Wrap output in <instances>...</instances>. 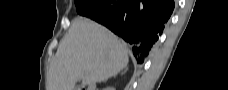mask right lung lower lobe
<instances>
[{
    "instance_id": "98d812e1",
    "label": "right lung lower lobe",
    "mask_w": 228,
    "mask_h": 90,
    "mask_svg": "<svg viewBox=\"0 0 228 90\" xmlns=\"http://www.w3.org/2000/svg\"><path fill=\"white\" fill-rule=\"evenodd\" d=\"M173 9V0H106L101 13L89 18L125 40L137 63L142 64Z\"/></svg>"
}]
</instances>
